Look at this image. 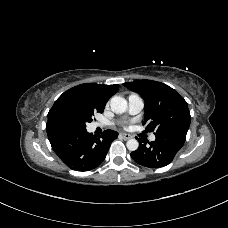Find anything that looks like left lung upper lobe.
I'll return each instance as SVG.
<instances>
[{
    "instance_id": "5c2ea615",
    "label": "left lung upper lobe",
    "mask_w": 228,
    "mask_h": 228,
    "mask_svg": "<svg viewBox=\"0 0 228 228\" xmlns=\"http://www.w3.org/2000/svg\"><path fill=\"white\" fill-rule=\"evenodd\" d=\"M123 85L139 93L145 101V132L155 131L157 134L169 130H188L190 111L187 102L176 90L153 80H137Z\"/></svg>"
}]
</instances>
